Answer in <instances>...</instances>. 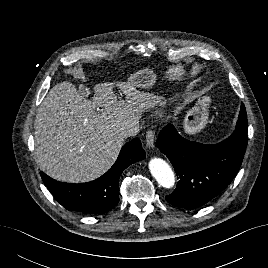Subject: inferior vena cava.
Listing matches in <instances>:
<instances>
[{
	"label": "inferior vena cava",
	"mask_w": 268,
	"mask_h": 268,
	"mask_svg": "<svg viewBox=\"0 0 268 268\" xmlns=\"http://www.w3.org/2000/svg\"><path fill=\"white\" fill-rule=\"evenodd\" d=\"M139 132V124L129 126L123 129V131L120 133V135L124 137H131L137 135Z\"/></svg>",
	"instance_id": "obj_1"
}]
</instances>
